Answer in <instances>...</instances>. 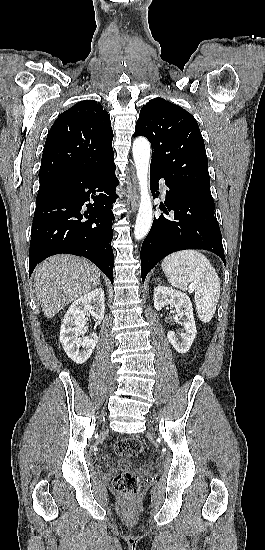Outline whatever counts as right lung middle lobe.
<instances>
[{"label": "right lung middle lobe", "instance_id": "dd1d6c3e", "mask_svg": "<svg viewBox=\"0 0 265 550\" xmlns=\"http://www.w3.org/2000/svg\"><path fill=\"white\" fill-rule=\"evenodd\" d=\"M47 187H48V186L40 187L39 192H41L42 190H44V189L47 188Z\"/></svg>", "mask_w": 265, "mask_h": 550}]
</instances>
